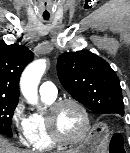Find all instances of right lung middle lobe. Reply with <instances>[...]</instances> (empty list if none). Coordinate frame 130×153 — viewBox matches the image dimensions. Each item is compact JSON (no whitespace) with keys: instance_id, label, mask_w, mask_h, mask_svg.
<instances>
[{"instance_id":"dd1d6c3e","label":"right lung middle lobe","mask_w":130,"mask_h":153,"mask_svg":"<svg viewBox=\"0 0 130 153\" xmlns=\"http://www.w3.org/2000/svg\"><path fill=\"white\" fill-rule=\"evenodd\" d=\"M18 101L0 98V134L12 137L11 119Z\"/></svg>"}]
</instances>
